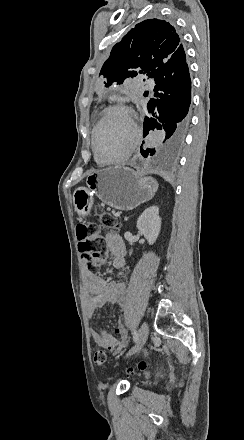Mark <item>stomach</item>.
Masks as SVG:
<instances>
[{
    "instance_id": "stomach-1",
    "label": "stomach",
    "mask_w": 244,
    "mask_h": 440,
    "mask_svg": "<svg viewBox=\"0 0 244 440\" xmlns=\"http://www.w3.org/2000/svg\"><path fill=\"white\" fill-rule=\"evenodd\" d=\"M86 186L76 188L73 194L74 210L79 218L89 216L94 196L115 210H134L140 204L152 200L158 190L154 178L145 176L142 170L113 166L89 174Z\"/></svg>"
}]
</instances>
